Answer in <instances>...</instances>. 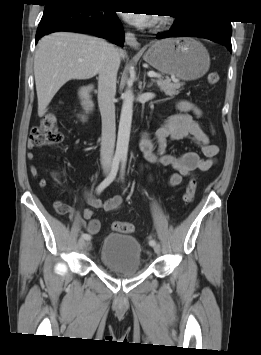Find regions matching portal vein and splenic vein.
I'll use <instances>...</instances> for the list:
<instances>
[{
	"mask_svg": "<svg viewBox=\"0 0 261 355\" xmlns=\"http://www.w3.org/2000/svg\"><path fill=\"white\" fill-rule=\"evenodd\" d=\"M147 75H148L149 77H158V75H157L155 72H153V71H149V72L147 73Z\"/></svg>",
	"mask_w": 261,
	"mask_h": 355,
	"instance_id": "1",
	"label": "portal vein and splenic vein"
}]
</instances>
